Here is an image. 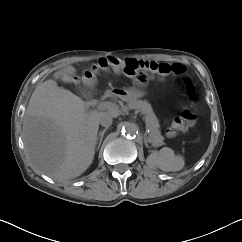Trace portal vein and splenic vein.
I'll return each mask as SVG.
<instances>
[{"label": "portal vein and splenic vein", "instance_id": "obj_1", "mask_svg": "<svg viewBox=\"0 0 242 242\" xmlns=\"http://www.w3.org/2000/svg\"><path fill=\"white\" fill-rule=\"evenodd\" d=\"M98 109L99 110H104V109H108V110H111V111H115L117 110V107L114 103L112 102H102L98 105Z\"/></svg>", "mask_w": 242, "mask_h": 242}]
</instances>
